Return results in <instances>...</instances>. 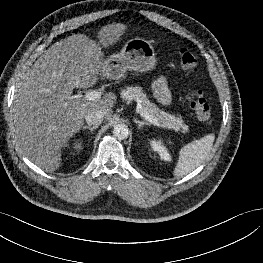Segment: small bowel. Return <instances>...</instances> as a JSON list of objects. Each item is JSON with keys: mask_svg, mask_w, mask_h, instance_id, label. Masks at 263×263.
Returning <instances> with one entry per match:
<instances>
[{"mask_svg": "<svg viewBox=\"0 0 263 263\" xmlns=\"http://www.w3.org/2000/svg\"><path fill=\"white\" fill-rule=\"evenodd\" d=\"M153 91L161 103L168 104L170 102V93L165 78L160 77L155 81Z\"/></svg>", "mask_w": 263, "mask_h": 263, "instance_id": "obj_1", "label": "small bowel"}]
</instances>
